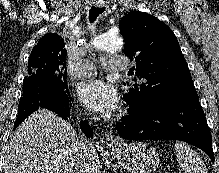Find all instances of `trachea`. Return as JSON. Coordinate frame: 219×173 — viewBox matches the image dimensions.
<instances>
[{"instance_id":"obj_1","label":"trachea","mask_w":219,"mask_h":173,"mask_svg":"<svg viewBox=\"0 0 219 173\" xmlns=\"http://www.w3.org/2000/svg\"><path fill=\"white\" fill-rule=\"evenodd\" d=\"M105 10V7H91L89 10V20L91 23H93L97 17L102 14Z\"/></svg>"}]
</instances>
